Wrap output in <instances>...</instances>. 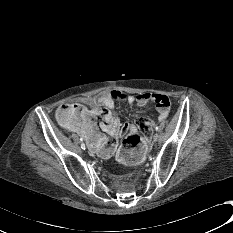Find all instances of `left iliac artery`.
Masks as SVG:
<instances>
[{
    "instance_id": "obj_1",
    "label": "left iliac artery",
    "mask_w": 233,
    "mask_h": 233,
    "mask_svg": "<svg viewBox=\"0 0 233 233\" xmlns=\"http://www.w3.org/2000/svg\"><path fill=\"white\" fill-rule=\"evenodd\" d=\"M155 130L158 131V130H159V126H156V127H155Z\"/></svg>"
}]
</instances>
